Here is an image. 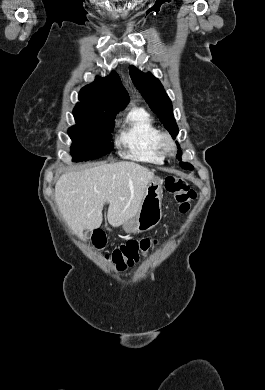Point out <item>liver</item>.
I'll return each instance as SVG.
<instances>
[{
	"label": "liver",
	"mask_w": 265,
	"mask_h": 390,
	"mask_svg": "<svg viewBox=\"0 0 265 390\" xmlns=\"http://www.w3.org/2000/svg\"><path fill=\"white\" fill-rule=\"evenodd\" d=\"M153 178L154 172L128 161L68 171L56 182L55 201L68 226L82 238L84 230L101 226L105 203L113 227L134 217Z\"/></svg>",
	"instance_id": "1"
}]
</instances>
